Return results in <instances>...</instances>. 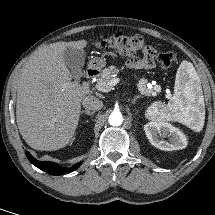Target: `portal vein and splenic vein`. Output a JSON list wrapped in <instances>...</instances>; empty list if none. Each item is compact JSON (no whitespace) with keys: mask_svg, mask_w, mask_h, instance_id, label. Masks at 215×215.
<instances>
[{"mask_svg":"<svg viewBox=\"0 0 215 215\" xmlns=\"http://www.w3.org/2000/svg\"><path fill=\"white\" fill-rule=\"evenodd\" d=\"M120 79L119 78H112L109 82L107 83H98L96 84V89H98L101 92H108L110 89L117 85L119 83Z\"/></svg>","mask_w":215,"mask_h":215,"instance_id":"18ae733b","label":"portal vein and splenic vein"}]
</instances>
